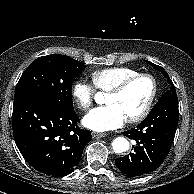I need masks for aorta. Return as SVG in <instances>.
<instances>
[{
  "instance_id": "1",
  "label": "aorta",
  "mask_w": 194,
  "mask_h": 194,
  "mask_svg": "<svg viewBox=\"0 0 194 194\" xmlns=\"http://www.w3.org/2000/svg\"><path fill=\"white\" fill-rule=\"evenodd\" d=\"M129 146V141L124 137H117L112 142L113 151L117 154L126 152Z\"/></svg>"
}]
</instances>
